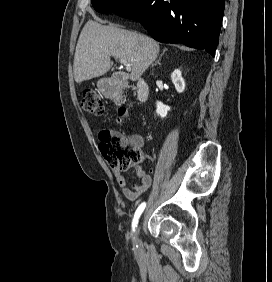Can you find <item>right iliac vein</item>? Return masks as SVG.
<instances>
[{"label":"right iliac vein","instance_id":"63e3f726","mask_svg":"<svg viewBox=\"0 0 272 282\" xmlns=\"http://www.w3.org/2000/svg\"><path fill=\"white\" fill-rule=\"evenodd\" d=\"M139 232H140V226H136V231H135L136 236L139 234Z\"/></svg>","mask_w":272,"mask_h":282}]
</instances>
